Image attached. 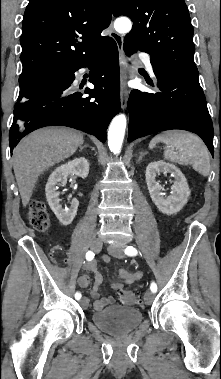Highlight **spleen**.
<instances>
[{
	"label": "spleen",
	"instance_id": "obj_1",
	"mask_svg": "<svg viewBox=\"0 0 221 379\" xmlns=\"http://www.w3.org/2000/svg\"><path fill=\"white\" fill-rule=\"evenodd\" d=\"M159 142L166 144L164 151L166 160L180 165H191L201 175H209V151L198 136L178 130L166 131L151 140L150 148Z\"/></svg>",
	"mask_w": 221,
	"mask_h": 379
}]
</instances>
